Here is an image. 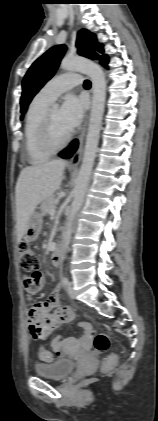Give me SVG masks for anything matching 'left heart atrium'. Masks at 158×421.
Segmentation results:
<instances>
[{"instance_id":"1","label":"left heart atrium","mask_w":158,"mask_h":421,"mask_svg":"<svg viewBox=\"0 0 158 421\" xmlns=\"http://www.w3.org/2000/svg\"><path fill=\"white\" fill-rule=\"evenodd\" d=\"M85 103L82 98L69 95L65 98L60 109V117L63 125L71 132L82 120Z\"/></svg>"}]
</instances>
